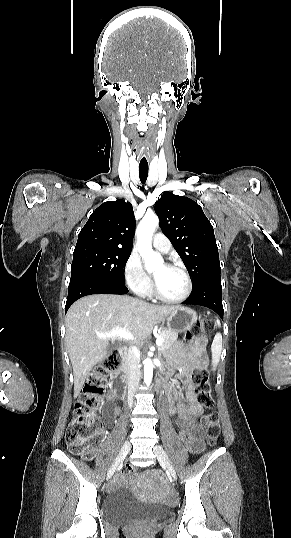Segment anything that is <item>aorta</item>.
<instances>
[{"label": "aorta", "instance_id": "obj_1", "mask_svg": "<svg viewBox=\"0 0 291 538\" xmlns=\"http://www.w3.org/2000/svg\"><path fill=\"white\" fill-rule=\"evenodd\" d=\"M159 224V218L156 214H146L137 228V243L138 250L142 259L145 262L147 270H154L156 267L162 266L164 261L161 255L156 254L152 249V235ZM144 381L147 386L152 382L153 378V362L150 357L144 360Z\"/></svg>", "mask_w": 291, "mask_h": 538}]
</instances>
